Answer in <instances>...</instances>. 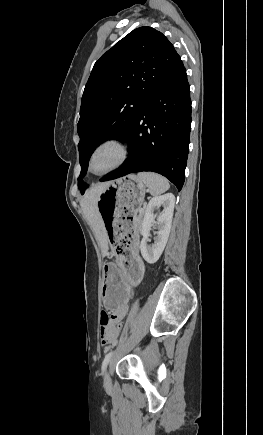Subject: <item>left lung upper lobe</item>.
<instances>
[{"instance_id": "1", "label": "left lung upper lobe", "mask_w": 263, "mask_h": 435, "mask_svg": "<svg viewBox=\"0 0 263 435\" xmlns=\"http://www.w3.org/2000/svg\"><path fill=\"white\" fill-rule=\"evenodd\" d=\"M180 62L168 39L144 26L130 32L95 63L78 122L81 194L88 188L81 178L94 149L106 139L126 141L147 100Z\"/></svg>"}]
</instances>
